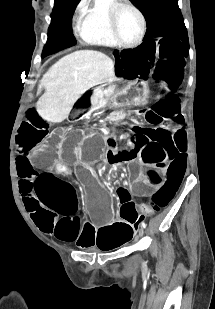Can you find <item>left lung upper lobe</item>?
I'll return each instance as SVG.
<instances>
[{
    "label": "left lung upper lobe",
    "instance_id": "left-lung-upper-lobe-1",
    "mask_svg": "<svg viewBox=\"0 0 215 309\" xmlns=\"http://www.w3.org/2000/svg\"><path fill=\"white\" fill-rule=\"evenodd\" d=\"M145 16L147 31L145 41L154 38H173L188 43L178 0H132Z\"/></svg>",
    "mask_w": 215,
    "mask_h": 309
}]
</instances>
